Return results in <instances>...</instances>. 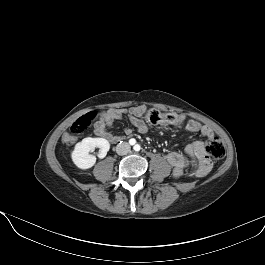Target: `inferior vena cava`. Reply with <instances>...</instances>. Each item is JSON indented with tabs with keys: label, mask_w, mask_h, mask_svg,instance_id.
Instances as JSON below:
<instances>
[{
	"label": "inferior vena cava",
	"mask_w": 265,
	"mask_h": 265,
	"mask_svg": "<svg viewBox=\"0 0 265 265\" xmlns=\"http://www.w3.org/2000/svg\"><path fill=\"white\" fill-rule=\"evenodd\" d=\"M116 152L118 155H126L130 152V145L127 142L119 143L116 146Z\"/></svg>",
	"instance_id": "1"
}]
</instances>
